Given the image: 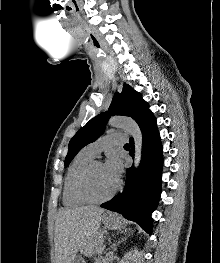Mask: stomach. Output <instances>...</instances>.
<instances>
[{"label": "stomach", "instance_id": "obj_1", "mask_svg": "<svg viewBox=\"0 0 220 263\" xmlns=\"http://www.w3.org/2000/svg\"><path fill=\"white\" fill-rule=\"evenodd\" d=\"M102 222L106 228L111 230H119L123 226V221L121 217L113 213L104 215L102 217ZM72 263H85V262L80 255H77L73 259Z\"/></svg>", "mask_w": 220, "mask_h": 263}]
</instances>
